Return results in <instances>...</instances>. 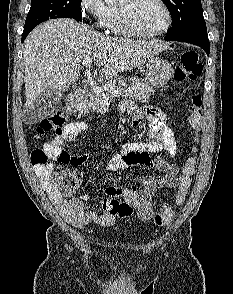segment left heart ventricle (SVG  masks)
Wrapping results in <instances>:
<instances>
[{"instance_id":"1","label":"left heart ventricle","mask_w":233,"mask_h":294,"mask_svg":"<svg viewBox=\"0 0 233 294\" xmlns=\"http://www.w3.org/2000/svg\"><path fill=\"white\" fill-rule=\"evenodd\" d=\"M126 0L123 5H127ZM131 17L134 26L142 32L152 33L166 23V15L156 0H136L131 3Z\"/></svg>"}]
</instances>
